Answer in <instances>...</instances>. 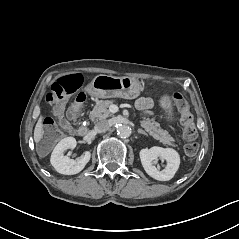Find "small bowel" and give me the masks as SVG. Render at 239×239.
Here are the masks:
<instances>
[{"label":"small bowel","instance_id":"c3829d8e","mask_svg":"<svg viewBox=\"0 0 239 239\" xmlns=\"http://www.w3.org/2000/svg\"><path fill=\"white\" fill-rule=\"evenodd\" d=\"M153 101L150 98L147 97H141L136 102V107L144 112L149 114L151 112V109L153 108Z\"/></svg>","mask_w":239,"mask_h":239}]
</instances>
